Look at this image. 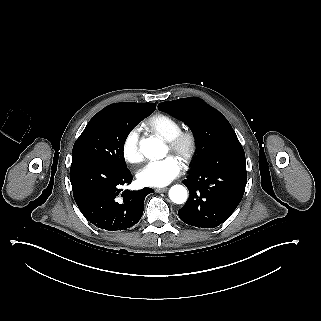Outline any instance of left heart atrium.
Wrapping results in <instances>:
<instances>
[{"mask_svg": "<svg viewBox=\"0 0 321 321\" xmlns=\"http://www.w3.org/2000/svg\"><path fill=\"white\" fill-rule=\"evenodd\" d=\"M184 170L182 161L173 155L148 162L139 169L137 177L144 186L163 187L171 183Z\"/></svg>", "mask_w": 321, "mask_h": 321, "instance_id": "39dd6f15", "label": "left heart atrium"}]
</instances>
